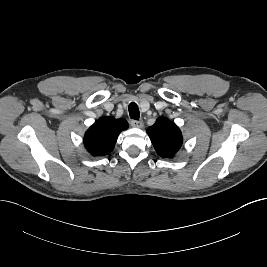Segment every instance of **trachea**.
Instances as JSON below:
<instances>
[{
    "label": "trachea",
    "mask_w": 267,
    "mask_h": 267,
    "mask_svg": "<svg viewBox=\"0 0 267 267\" xmlns=\"http://www.w3.org/2000/svg\"><path fill=\"white\" fill-rule=\"evenodd\" d=\"M129 115L131 119L138 120L140 117V112L138 105L134 102L130 103L128 106Z\"/></svg>",
    "instance_id": "trachea-1"
}]
</instances>
